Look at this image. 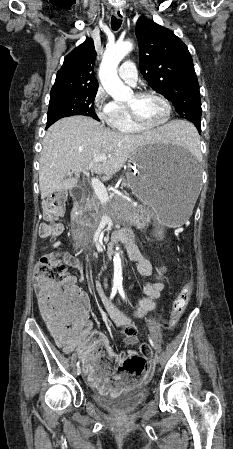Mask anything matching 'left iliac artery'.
<instances>
[{"mask_svg":"<svg viewBox=\"0 0 233 449\" xmlns=\"http://www.w3.org/2000/svg\"><path fill=\"white\" fill-rule=\"evenodd\" d=\"M118 290H119V294L121 295V297H122L123 299H125V293H124V290H123V286H122V285L118 286ZM149 342H150V344L152 345V347L155 348V346H154V344H153V341H152V339H151L150 336H149Z\"/></svg>","mask_w":233,"mask_h":449,"instance_id":"44dca946","label":"left iliac artery"}]
</instances>
